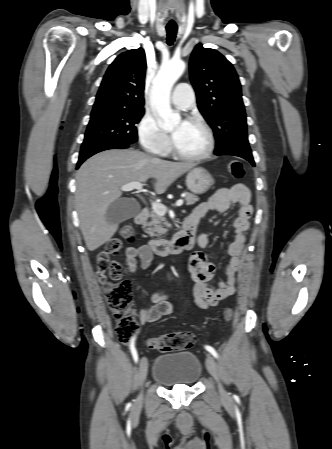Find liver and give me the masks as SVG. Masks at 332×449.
Returning a JSON list of instances; mask_svg holds the SVG:
<instances>
[{
    "mask_svg": "<svg viewBox=\"0 0 332 449\" xmlns=\"http://www.w3.org/2000/svg\"><path fill=\"white\" fill-rule=\"evenodd\" d=\"M192 168L191 164L151 158L132 149L104 151L84 162L76 175L75 199L88 250H96L116 233L118 224L108 222L105 215L122 195L121 186L154 178L155 191L161 194Z\"/></svg>",
    "mask_w": 332,
    "mask_h": 449,
    "instance_id": "6515ba94",
    "label": "liver"
}]
</instances>
